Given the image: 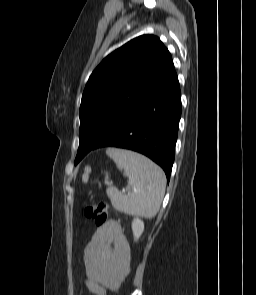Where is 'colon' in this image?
I'll return each instance as SVG.
<instances>
[{
  "instance_id": "5ec220e1",
  "label": "colon",
  "mask_w": 256,
  "mask_h": 295,
  "mask_svg": "<svg viewBox=\"0 0 256 295\" xmlns=\"http://www.w3.org/2000/svg\"><path fill=\"white\" fill-rule=\"evenodd\" d=\"M84 215L86 218L93 220L97 226H101L107 221L108 207L103 202L93 203L85 207Z\"/></svg>"
}]
</instances>
